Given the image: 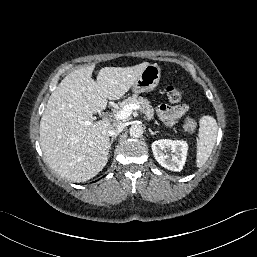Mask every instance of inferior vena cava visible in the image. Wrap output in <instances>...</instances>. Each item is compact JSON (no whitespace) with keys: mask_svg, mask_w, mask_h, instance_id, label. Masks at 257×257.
Listing matches in <instances>:
<instances>
[{"mask_svg":"<svg viewBox=\"0 0 257 257\" xmlns=\"http://www.w3.org/2000/svg\"><path fill=\"white\" fill-rule=\"evenodd\" d=\"M123 130V125L120 123H113L110 125L109 130H108V135L109 136H115L118 135Z\"/></svg>","mask_w":257,"mask_h":257,"instance_id":"inferior-vena-cava-1","label":"inferior vena cava"}]
</instances>
